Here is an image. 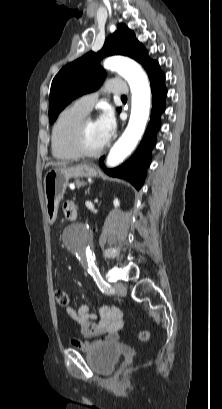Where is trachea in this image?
Returning a JSON list of instances; mask_svg holds the SVG:
<instances>
[{"label":"trachea","mask_w":222,"mask_h":409,"mask_svg":"<svg viewBox=\"0 0 222 409\" xmlns=\"http://www.w3.org/2000/svg\"><path fill=\"white\" fill-rule=\"evenodd\" d=\"M121 99H127V97L125 95H122Z\"/></svg>","instance_id":"1"}]
</instances>
